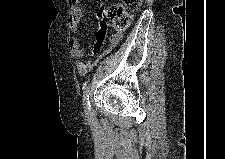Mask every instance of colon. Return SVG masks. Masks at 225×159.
Segmentation results:
<instances>
[{
  "instance_id": "obj_1",
  "label": "colon",
  "mask_w": 225,
  "mask_h": 159,
  "mask_svg": "<svg viewBox=\"0 0 225 159\" xmlns=\"http://www.w3.org/2000/svg\"><path fill=\"white\" fill-rule=\"evenodd\" d=\"M72 4H76L79 0H70ZM141 0H121L120 3L112 4L106 7L102 12V20L100 26L106 28L110 25L115 29L116 37L129 26L132 15L138 10ZM116 39L113 40V44Z\"/></svg>"
}]
</instances>
